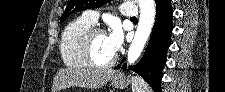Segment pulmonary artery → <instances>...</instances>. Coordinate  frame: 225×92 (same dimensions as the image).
<instances>
[{
    "mask_svg": "<svg viewBox=\"0 0 225 92\" xmlns=\"http://www.w3.org/2000/svg\"><path fill=\"white\" fill-rule=\"evenodd\" d=\"M125 6H133L132 3H123L122 7L120 8V13L128 18L133 19L136 17V12L134 10H128L125 8ZM86 20L89 22L95 24L98 21V13L94 10H87L82 15Z\"/></svg>",
    "mask_w": 225,
    "mask_h": 92,
    "instance_id": "e3ab8cb5",
    "label": "pulmonary artery"
}]
</instances>
